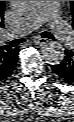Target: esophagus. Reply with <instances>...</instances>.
<instances>
[{
  "label": "esophagus",
  "mask_w": 74,
  "mask_h": 122,
  "mask_svg": "<svg viewBox=\"0 0 74 122\" xmlns=\"http://www.w3.org/2000/svg\"><path fill=\"white\" fill-rule=\"evenodd\" d=\"M47 42H48L47 39L41 38V37H39V38H37V39L34 40V44H35V45H44V44H46Z\"/></svg>",
  "instance_id": "esophagus-1"
}]
</instances>
